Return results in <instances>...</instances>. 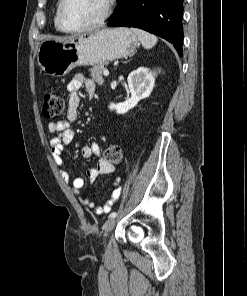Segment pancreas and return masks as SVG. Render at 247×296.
Here are the masks:
<instances>
[{"label":"pancreas","mask_w":247,"mask_h":296,"mask_svg":"<svg viewBox=\"0 0 247 296\" xmlns=\"http://www.w3.org/2000/svg\"><path fill=\"white\" fill-rule=\"evenodd\" d=\"M104 66L105 63H99L90 69V76L99 84L103 83L102 73L105 70Z\"/></svg>","instance_id":"1"}]
</instances>
